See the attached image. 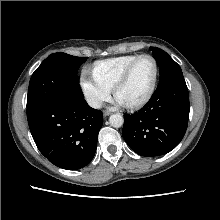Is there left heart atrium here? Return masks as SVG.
Here are the masks:
<instances>
[{
	"label": "left heart atrium",
	"mask_w": 220,
	"mask_h": 220,
	"mask_svg": "<svg viewBox=\"0 0 220 220\" xmlns=\"http://www.w3.org/2000/svg\"><path fill=\"white\" fill-rule=\"evenodd\" d=\"M116 103L118 104V105H125L120 99H118L117 97H116Z\"/></svg>",
	"instance_id": "obj_1"
}]
</instances>
